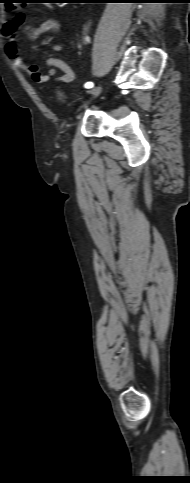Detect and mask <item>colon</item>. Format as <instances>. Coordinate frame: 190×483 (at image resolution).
<instances>
[{"instance_id": "colon-1", "label": "colon", "mask_w": 190, "mask_h": 483, "mask_svg": "<svg viewBox=\"0 0 190 483\" xmlns=\"http://www.w3.org/2000/svg\"><path fill=\"white\" fill-rule=\"evenodd\" d=\"M22 0H14V1H9L8 5L10 6L11 11H16L19 9L20 6L24 5Z\"/></svg>"}]
</instances>
